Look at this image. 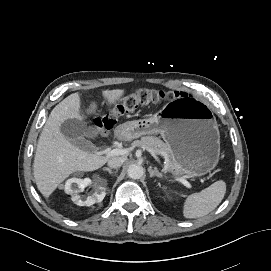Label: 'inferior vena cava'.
Listing matches in <instances>:
<instances>
[{"instance_id":"inferior-vena-cava-1","label":"inferior vena cava","mask_w":271,"mask_h":271,"mask_svg":"<svg viewBox=\"0 0 271 271\" xmlns=\"http://www.w3.org/2000/svg\"><path fill=\"white\" fill-rule=\"evenodd\" d=\"M125 158L123 157H112L108 160V166L110 168L117 169L122 166V164L125 162Z\"/></svg>"}]
</instances>
